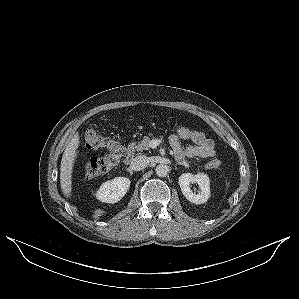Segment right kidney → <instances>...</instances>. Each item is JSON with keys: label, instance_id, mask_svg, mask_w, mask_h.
I'll use <instances>...</instances> for the list:
<instances>
[{"label": "right kidney", "instance_id": "ca27d5eb", "mask_svg": "<svg viewBox=\"0 0 299 299\" xmlns=\"http://www.w3.org/2000/svg\"><path fill=\"white\" fill-rule=\"evenodd\" d=\"M130 187V180L126 177H116L104 182L96 193L101 202L116 203L122 199Z\"/></svg>", "mask_w": 299, "mask_h": 299}]
</instances>
